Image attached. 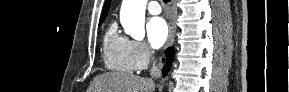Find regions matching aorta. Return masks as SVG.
I'll use <instances>...</instances> for the list:
<instances>
[{
	"label": "aorta",
	"mask_w": 289,
	"mask_h": 92,
	"mask_svg": "<svg viewBox=\"0 0 289 92\" xmlns=\"http://www.w3.org/2000/svg\"><path fill=\"white\" fill-rule=\"evenodd\" d=\"M147 0H123L120 21L127 34L141 40L145 36V10Z\"/></svg>",
	"instance_id": "obj_1"
}]
</instances>
